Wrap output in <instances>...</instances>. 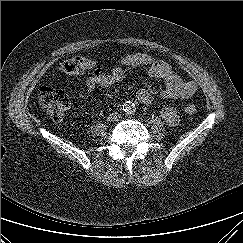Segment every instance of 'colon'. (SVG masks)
<instances>
[{"label": "colon", "instance_id": "obj_1", "mask_svg": "<svg viewBox=\"0 0 243 243\" xmlns=\"http://www.w3.org/2000/svg\"><path fill=\"white\" fill-rule=\"evenodd\" d=\"M57 69L66 74H78L98 70L91 59L83 56H75L60 62ZM39 101L45 112L55 121L62 120L70 107L68 94L61 89H55L50 86H42L40 88ZM185 112L188 115H194L197 112V106L194 103H188L185 106Z\"/></svg>", "mask_w": 243, "mask_h": 243}]
</instances>
